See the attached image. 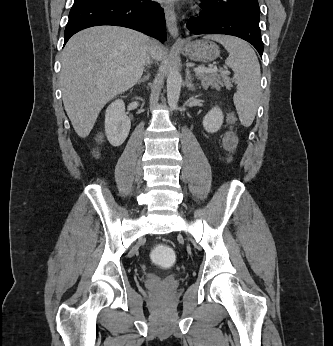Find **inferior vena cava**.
Here are the masks:
<instances>
[{"mask_svg":"<svg viewBox=\"0 0 333 346\" xmlns=\"http://www.w3.org/2000/svg\"><path fill=\"white\" fill-rule=\"evenodd\" d=\"M150 57H152L150 54L147 55V58H146V63L147 64H150L151 63V60H150Z\"/></svg>","mask_w":333,"mask_h":346,"instance_id":"1","label":"inferior vena cava"}]
</instances>
